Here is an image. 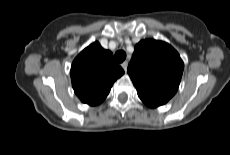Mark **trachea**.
<instances>
[{"instance_id": "trachea-1", "label": "trachea", "mask_w": 230, "mask_h": 155, "mask_svg": "<svg viewBox=\"0 0 230 155\" xmlns=\"http://www.w3.org/2000/svg\"><path fill=\"white\" fill-rule=\"evenodd\" d=\"M126 59V53L123 50H119L115 53V60L118 63H122Z\"/></svg>"}]
</instances>
